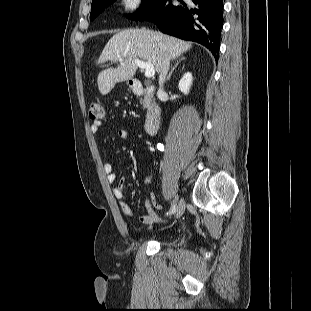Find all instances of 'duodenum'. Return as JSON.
I'll return each instance as SVG.
<instances>
[{
    "label": "duodenum",
    "instance_id": "410a0bca",
    "mask_svg": "<svg viewBox=\"0 0 311 311\" xmlns=\"http://www.w3.org/2000/svg\"><path fill=\"white\" fill-rule=\"evenodd\" d=\"M129 85L133 93L139 96L145 95L152 97L156 91V88L153 85L149 84L147 86H143L141 81L137 78H130ZM161 115L162 110L160 106L154 103L148 105L147 115L145 119V131L147 134L153 135L156 132L161 120Z\"/></svg>",
    "mask_w": 311,
    "mask_h": 311
}]
</instances>
